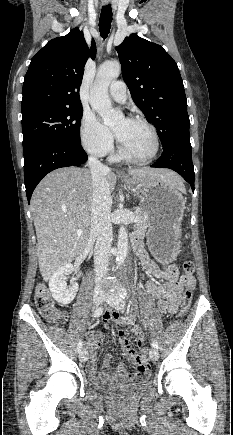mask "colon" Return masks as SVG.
I'll return each instance as SVG.
<instances>
[{"label":"colon","mask_w":233,"mask_h":435,"mask_svg":"<svg viewBox=\"0 0 233 435\" xmlns=\"http://www.w3.org/2000/svg\"><path fill=\"white\" fill-rule=\"evenodd\" d=\"M182 272L186 285L182 295V313H185L190 308L192 301L191 284L193 283V274L195 272L194 262H185L182 266ZM34 302L40 314L49 322H59L67 317V313L65 311H60L55 308L50 299L49 291L46 285L42 283L38 284L35 289ZM136 368L138 372L149 371L146 352H142L139 356L136 362Z\"/></svg>","instance_id":"obj_1"}]
</instances>
